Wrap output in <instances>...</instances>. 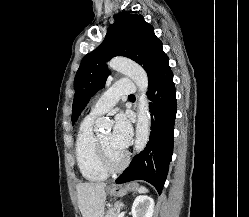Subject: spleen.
<instances>
[{
  "label": "spleen",
  "instance_id": "obj_1",
  "mask_svg": "<svg viewBox=\"0 0 249 217\" xmlns=\"http://www.w3.org/2000/svg\"><path fill=\"white\" fill-rule=\"evenodd\" d=\"M147 191H148L147 188H145V187H143V186H141L140 189H139V192H140V193H145V192H147Z\"/></svg>",
  "mask_w": 249,
  "mask_h": 217
}]
</instances>
